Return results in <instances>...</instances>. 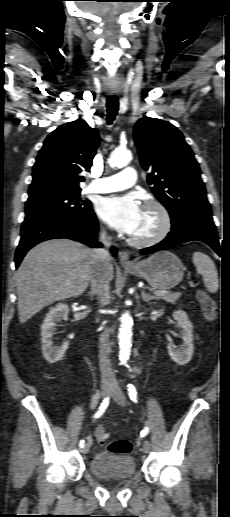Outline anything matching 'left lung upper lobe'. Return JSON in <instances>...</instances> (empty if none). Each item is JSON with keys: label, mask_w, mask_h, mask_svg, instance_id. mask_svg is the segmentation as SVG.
<instances>
[{"label": "left lung upper lobe", "mask_w": 230, "mask_h": 517, "mask_svg": "<svg viewBox=\"0 0 230 517\" xmlns=\"http://www.w3.org/2000/svg\"><path fill=\"white\" fill-rule=\"evenodd\" d=\"M134 141L148 183L167 208L172 229L212 217L199 164L183 134L171 123L141 118L134 127Z\"/></svg>", "instance_id": "5c2ea615"}]
</instances>
